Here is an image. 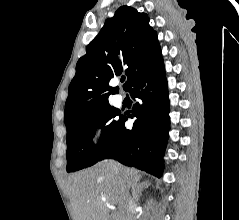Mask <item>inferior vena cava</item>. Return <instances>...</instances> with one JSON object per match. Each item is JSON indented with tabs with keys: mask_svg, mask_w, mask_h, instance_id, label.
Wrapping results in <instances>:
<instances>
[{
	"mask_svg": "<svg viewBox=\"0 0 239 220\" xmlns=\"http://www.w3.org/2000/svg\"><path fill=\"white\" fill-rule=\"evenodd\" d=\"M109 163L115 171H118V165L116 162L111 160L109 161ZM123 200H124L123 204L124 214L122 215L123 220H135L134 210L136 204L134 198L130 196L129 190H127L125 186L123 189Z\"/></svg>",
	"mask_w": 239,
	"mask_h": 220,
	"instance_id": "inferior-vena-cava-1",
	"label": "inferior vena cava"
}]
</instances>
